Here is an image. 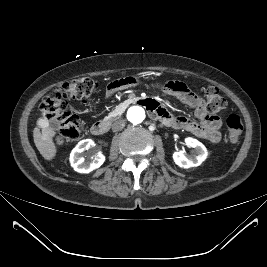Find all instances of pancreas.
I'll use <instances>...</instances> for the list:
<instances>
[{"label":"pancreas","mask_w":267,"mask_h":267,"mask_svg":"<svg viewBox=\"0 0 267 267\" xmlns=\"http://www.w3.org/2000/svg\"><path fill=\"white\" fill-rule=\"evenodd\" d=\"M121 113L117 111L111 112L108 116L104 118L105 121H113L117 116H119Z\"/></svg>","instance_id":"cf45deb5"}]
</instances>
